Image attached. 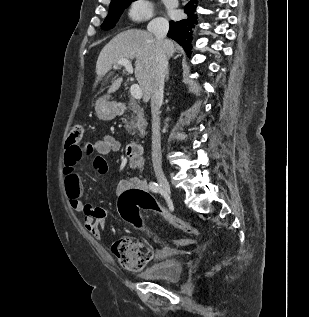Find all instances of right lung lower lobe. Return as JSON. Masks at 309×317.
Segmentation results:
<instances>
[{
    "instance_id": "1",
    "label": "right lung lower lobe",
    "mask_w": 309,
    "mask_h": 317,
    "mask_svg": "<svg viewBox=\"0 0 309 317\" xmlns=\"http://www.w3.org/2000/svg\"><path fill=\"white\" fill-rule=\"evenodd\" d=\"M197 0H191L185 9L187 19L179 22L170 21V29L168 37L178 42L187 53L188 57L191 55V37L195 25L198 23V16L196 14Z\"/></svg>"
}]
</instances>
